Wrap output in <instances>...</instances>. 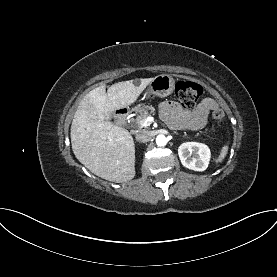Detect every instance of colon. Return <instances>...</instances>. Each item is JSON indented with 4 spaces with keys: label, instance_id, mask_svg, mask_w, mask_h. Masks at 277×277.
Here are the masks:
<instances>
[{
    "label": "colon",
    "instance_id": "5ec220e1",
    "mask_svg": "<svg viewBox=\"0 0 277 277\" xmlns=\"http://www.w3.org/2000/svg\"><path fill=\"white\" fill-rule=\"evenodd\" d=\"M203 93L202 87L195 82L179 81L175 87V94L182 106L192 108ZM224 112L221 109H215L212 114L214 121L220 123L224 119Z\"/></svg>",
    "mask_w": 277,
    "mask_h": 277
}]
</instances>
